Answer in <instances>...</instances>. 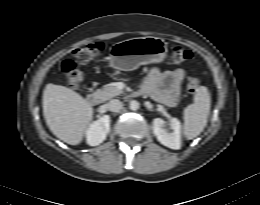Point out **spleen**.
<instances>
[{
  "label": "spleen",
  "instance_id": "3e777b00",
  "mask_svg": "<svg viewBox=\"0 0 260 205\" xmlns=\"http://www.w3.org/2000/svg\"><path fill=\"white\" fill-rule=\"evenodd\" d=\"M211 98L207 87L196 89L194 102L184 109V135L188 140L196 138L206 127Z\"/></svg>",
  "mask_w": 260,
  "mask_h": 205
}]
</instances>
